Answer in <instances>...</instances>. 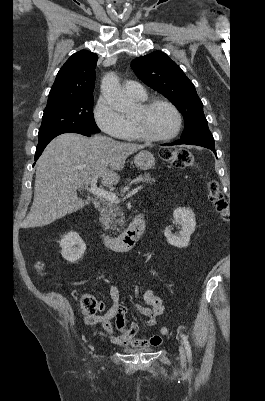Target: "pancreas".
<instances>
[{
  "instance_id": "pancreas-1",
  "label": "pancreas",
  "mask_w": 265,
  "mask_h": 401,
  "mask_svg": "<svg viewBox=\"0 0 265 401\" xmlns=\"http://www.w3.org/2000/svg\"><path fill=\"white\" fill-rule=\"evenodd\" d=\"M138 178H140V180H145V182H151V184L155 182V178H152L149 172L139 174ZM121 190L123 192L124 188H121ZM116 217H121V219H116ZM100 219L101 223L105 225V229H111V227L117 229V225H122L124 217L118 205L111 203V201H105V203H103V209H101Z\"/></svg>"
}]
</instances>
